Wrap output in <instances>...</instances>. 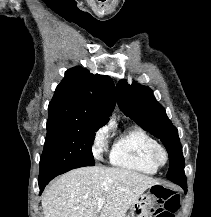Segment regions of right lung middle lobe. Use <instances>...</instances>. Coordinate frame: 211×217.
<instances>
[{"instance_id": "dd1d6c3e", "label": "right lung middle lobe", "mask_w": 211, "mask_h": 217, "mask_svg": "<svg viewBox=\"0 0 211 217\" xmlns=\"http://www.w3.org/2000/svg\"><path fill=\"white\" fill-rule=\"evenodd\" d=\"M96 122L48 120L39 175L52 170L94 166L92 142L102 126Z\"/></svg>"}]
</instances>
